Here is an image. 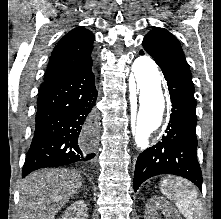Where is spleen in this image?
Returning a JSON list of instances; mask_svg holds the SVG:
<instances>
[{
    "label": "spleen",
    "instance_id": "spleen-1",
    "mask_svg": "<svg viewBox=\"0 0 221 219\" xmlns=\"http://www.w3.org/2000/svg\"><path fill=\"white\" fill-rule=\"evenodd\" d=\"M160 191L169 200L175 202L186 219H201L203 216L202 203L189 182L170 176L160 182Z\"/></svg>",
    "mask_w": 221,
    "mask_h": 219
}]
</instances>
